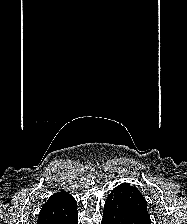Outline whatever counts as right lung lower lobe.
I'll list each match as a JSON object with an SVG mask.
<instances>
[{
    "label": "right lung lower lobe",
    "mask_w": 187,
    "mask_h": 224,
    "mask_svg": "<svg viewBox=\"0 0 187 224\" xmlns=\"http://www.w3.org/2000/svg\"><path fill=\"white\" fill-rule=\"evenodd\" d=\"M59 224H78L77 209L74 211V213L67 220H65V221H63Z\"/></svg>",
    "instance_id": "obj_1"
}]
</instances>
